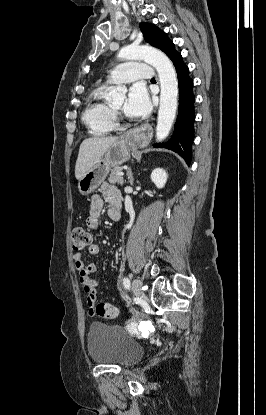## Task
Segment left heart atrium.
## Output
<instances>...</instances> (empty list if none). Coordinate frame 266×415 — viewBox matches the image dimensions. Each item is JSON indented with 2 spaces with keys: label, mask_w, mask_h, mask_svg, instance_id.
<instances>
[{
  "label": "left heart atrium",
  "mask_w": 266,
  "mask_h": 415,
  "mask_svg": "<svg viewBox=\"0 0 266 415\" xmlns=\"http://www.w3.org/2000/svg\"><path fill=\"white\" fill-rule=\"evenodd\" d=\"M152 105L146 87L140 83L134 84L128 93L124 105V112L127 116L140 118L151 111Z\"/></svg>",
  "instance_id": "1"
}]
</instances>
